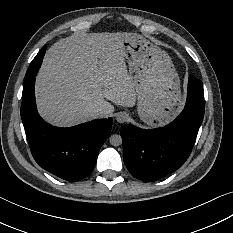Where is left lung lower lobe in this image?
<instances>
[{
	"label": "left lung lower lobe",
	"instance_id": "left-lung-lower-lobe-1",
	"mask_svg": "<svg viewBox=\"0 0 233 233\" xmlns=\"http://www.w3.org/2000/svg\"><path fill=\"white\" fill-rule=\"evenodd\" d=\"M204 110L203 84L190 75L185 108L173 122L151 130L124 125L123 159L129 172L152 182L180 168L192 151Z\"/></svg>",
	"mask_w": 233,
	"mask_h": 233
}]
</instances>
